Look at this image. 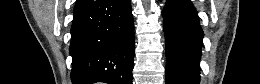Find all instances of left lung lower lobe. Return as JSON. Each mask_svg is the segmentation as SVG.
I'll list each match as a JSON object with an SVG mask.
<instances>
[{
	"instance_id": "0a47b994",
	"label": "left lung lower lobe",
	"mask_w": 260,
	"mask_h": 84,
	"mask_svg": "<svg viewBox=\"0 0 260 84\" xmlns=\"http://www.w3.org/2000/svg\"><path fill=\"white\" fill-rule=\"evenodd\" d=\"M166 84H199L203 31L189 0H168L164 9Z\"/></svg>"
}]
</instances>
